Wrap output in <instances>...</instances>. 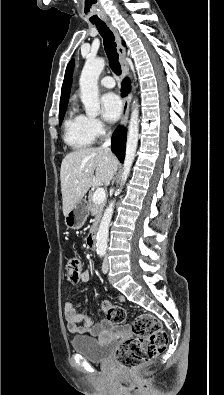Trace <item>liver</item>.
<instances>
[{"instance_id":"obj_1","label":"liver","mask_w":224,"mask_h":395,"mask_svg":"<svg viewBox=\"0 0 224 395\" xmlns=\"http://www.w3.org/2000/svg\"><path fill=\"white\" fill-rule=\"evenodd\" d=\"M118 167L116 156L105 148H81L61 163L63 214L66 215L92 186L109 185Z\"/></svg>"}]
</instances>
